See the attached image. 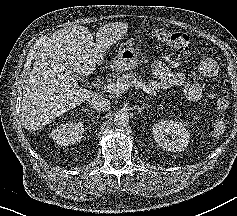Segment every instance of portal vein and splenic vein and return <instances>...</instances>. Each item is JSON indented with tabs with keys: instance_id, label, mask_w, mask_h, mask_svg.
Listing matches in <instances>:
<instances>
[{
	"instance_id": "18ae733b",
	"label": "portal vein and splenic vein",
	"mask_w": 237,
	"mask_h": 216,
	"mask_svg": "<svg viewBox=\"0 0 237 216\" xmlns=\"http://www.w3.org/2000/svg\"><path fill=\"white\" fill-rule=\"evenodd\" d=\"M126 83H117V84H104V88L112 94H117L126 90Z\"/></svg>"
}]
</instances>
